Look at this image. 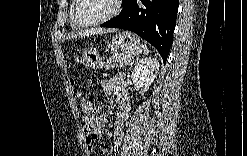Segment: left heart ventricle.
Here are the masks:
<instances>
[{
  "label": "left heart ventricle",
  "mask_w": 247,
  "mask_h": 156,
  "mask_svg": "<svg viewBox=\"0 0 247 156\" xmlns=\"http://www.w3.org/2000/svg\"><path fill=\"white\" fill-rule=\"evenodd\" d=\"M111 0H84L78 10L77 17L81 22H92L104 17L112 10Z\"/></svg>",
  "instance_id": "b2bd125f"
}]
</instances>
